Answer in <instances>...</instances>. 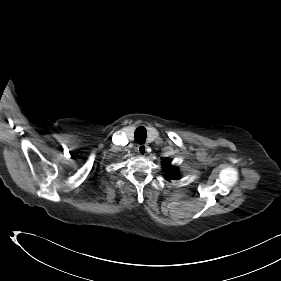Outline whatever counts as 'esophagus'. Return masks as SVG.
<instances>
[{
	"mask_svg": "<svg viewBox=\"0 0 281 281\" xmlns=\"http://www.w3.org/2000/svg\"><path fill=\"white\" fill-rule=\"evenodd\" d=\"M147 150V146L145 144H140L137 147V151L140 155H145Z\"/></svg>",
	"mask_w": 281,
	"mask_h": 281,
	"instance_id": "1",
	"label": "esophagus"
}]
</instances>
